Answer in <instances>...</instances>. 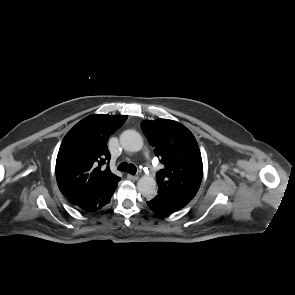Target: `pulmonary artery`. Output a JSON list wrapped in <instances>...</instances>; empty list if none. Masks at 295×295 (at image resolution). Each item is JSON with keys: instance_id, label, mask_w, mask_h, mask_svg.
Returning a JSON list of instances; mask_svg holds the SVG:
<instances>
[{"instance_id": "obj_1", "label": "pulmonary artery", "mask_w": 295, "mask_h": 295, "mask_svg": "<svg viewBox=\"0 0 295 295\" xmlns=\"http://www.w3.org/2000/svg\"><path fill=\"white\" fill-rule=\"evenodd\" d=\"M151 170H152V171H154V168H153V167H151Z\"/></svg>"}]
</instances>
